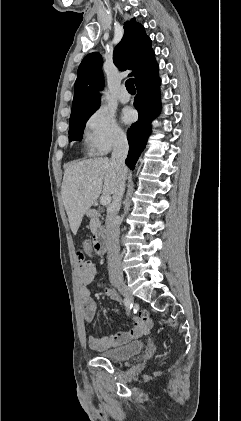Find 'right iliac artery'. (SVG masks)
Listing matches in <instances>:
<instances>
[{"label":"right iliac artery","instance_id":"obj_1","mask_svg":"<svg viewBox=\"0 0 241 421\" xmlns=\"http://www.w3.org/2000/svg\"><path fill=\"white\" fill-rule=\"evenodd\" d=\"M124 304H125L127 310H131L132 309V303H131L130 300L124 299Z\"/></svg>","mask_w":241,"mask_h":421}]
</instances>
